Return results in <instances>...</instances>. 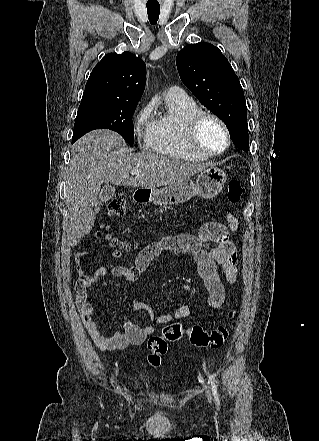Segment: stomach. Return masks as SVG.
Instances as JSON below:
<instances>
[{
    "mask_svg": "<svg viewBox=\"0 0 319 441\" xmlns=\"http://www.w3.org/2000/svg\"><path fill=\"white\" fill-rule=\"evenodd\" d=\"M226 179L223 169L207 167L198 175L196 183L186 179L173 186L149 189L150 199L155 204L165 206L185 203L195 195L205 199L213 198L222 191Z\"/></svg>",
    "mask_w": 319,
    "mask_h": 441,
    "instance_id": "1",
    "label": "stomach"
}]
</instances>
